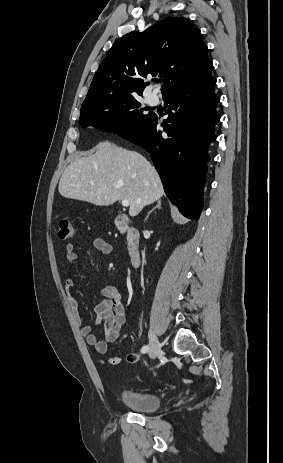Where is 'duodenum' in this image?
Instances as JSON below:
<instances>
[{
	"instance_id": "1",
	"label": "duodenum",
	"mask_w": 283,
	"mask_h": 463,
	"mask_svg": "<svg viewBox=\"0 0 283 463\" xmlns=\"http://www.w3.org/2000/svg\"><path fill=\"white\" fill-rule=\"evenodd\" d=\"M114 223L118 228L125 229L130 264L133 267H138L140 264L139 232L129 224L128 217L125 214H118L115 217Z\"/></svg>"
}]
</instances>
